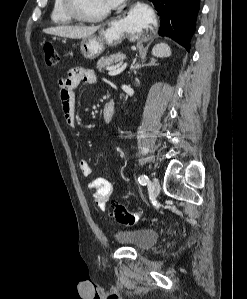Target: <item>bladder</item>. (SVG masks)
Listing matches in <instances>:
<instances>
[{
  "label": "bladder",
  "mask_w": 247,
  "mask_h": 299,
  "mask_svg": "<svg viewBox=\"0 0 247 299\" xmlns=\"http://www.w3.org/2000/svg\"><path fill=\"white\" fill-rule=\"evenodd\" d=\"M158 237V232L149 228L124 229L115 233V239L118 243L139 251L153 247Z\"/></svg>",
  "instance_id": "1"
}]
</instances>
